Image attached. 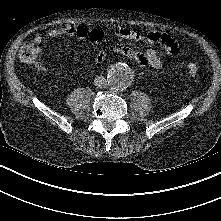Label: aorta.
<instances>
[{"label":"aorta","mask_w":221,"mask_h":221,"mask_svg":"<svg viewBox=\"0 0 221 221\" xmlns=\"http://www.w3.org/2000/svg\"><path fill=\"white\" fill-rule=\"evenodd\" d=\"M109 85L116 90H124L133 80V73L125 63H116L107 71Z\"/></svg>","instance_id":"obj_1"}]
</instances>
